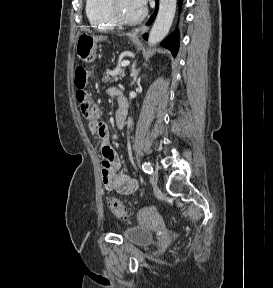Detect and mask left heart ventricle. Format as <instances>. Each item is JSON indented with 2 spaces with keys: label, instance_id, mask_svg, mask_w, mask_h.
<instances>
[{
  "label": "left heart ventricle",
  "instance_id": "obj_1",
  "mask_svg": "<svg viewBox=\"0 0 273 288\" xmlns=\"http://www.w3.org/2000/svg\"><path fill=\"white\" fill-rule=\"evenodd\" d=\"M118 10L122 17L132 19L139 16L143 8H141L136 0H118Z\"/></svg>",
  "mask_w": 273,
  "mask_h": 288
}]
</instances>
